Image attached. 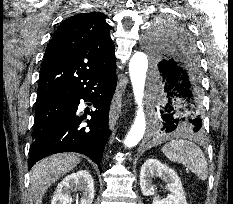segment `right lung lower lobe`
Here are the masks:
<instances>
[{
    "label": "right lung lower lobe",
    "mask_w": 233,
    "mask_h": 204,
    "mask_svg": "<svg viewBox=\"0 0 233 204\" xmlns=\"http://www.w3.org/2000/svg\"><path fill=\"white\" fill-rule=\"evenodd\" d=\"M116 88L115 69L85 84L78 91L66 95V117L45 135L34 139L30 150L29 169L42 158L60 152H78L91 158L101 169L106 141L111 133L108 127L109 106ZM80 99L94 103L95 111L87 127H79L82 116L77 109Z\"/></svg>",
    "instance_id": "right-lung-lower-lobe-1"
}]
</instances>
